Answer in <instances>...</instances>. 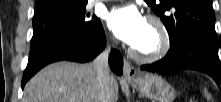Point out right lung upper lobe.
Listing matches in <instances>:
<instances>
[{
  "instance_id": "obj_1",
  "label": "right lung upper lobe",
  "mask_w": 221,
  "mask_h": 102,
  "mask_svg": "<svg viewBox=\"0 0 221 102\" xmlns=\"http://www.w3.org/2000/svg\"><path fill=\"white\" fill-rule=\"evenodd\" d=\"M44 1H46V0H36V5H38V4H40V3L44 2Z\"/></svg>"
}]
</instances>
